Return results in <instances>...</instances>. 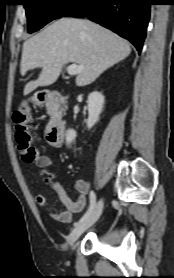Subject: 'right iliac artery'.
<instances>
[{
	"label": "right iliac artery",
	"instance_id": "82829eb1",
	"mask_svg": "<svg viewBox=\"0 0 174 278\" xmlns=\"http://www.w3.org/2000/svg\"><path fill=\"white\" fill-rule=\"evenodd\" d=\"M89 197H90V206H89L87 212L83 215V217L74 224L75 226L78 225L79 223L84 222L86 219H88L94 211V208L96 205V195L93 191H91L89 194Z\"/></svg>",
	"mask_w": 174,
	"mask_h": 278
}]
</instances>
